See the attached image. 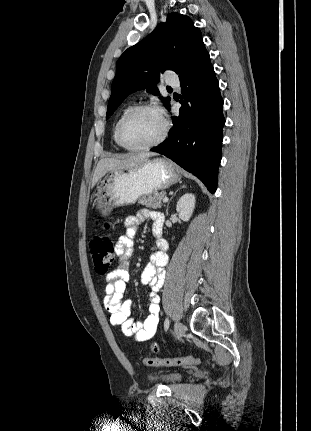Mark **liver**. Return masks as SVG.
Instances as JSON below:
<instances>
[{"mask_svg":"<svg viewBox=\"0 0 311 431\" xmlns=\"http://www.w3.org/2000/svg\"><path fill=\"white\" fill-rule=\"evenodd\" d=\"M157 156L152 152H140V154H125L121 158H103L99 160L92 180V188L98 184L99 180L116 170H135L138 166L145 164L149 158Z\"/></svg>","mask_w":311,"mask_h":431,"instance_id":"obj_1","label":"liver"}]
</instances>
